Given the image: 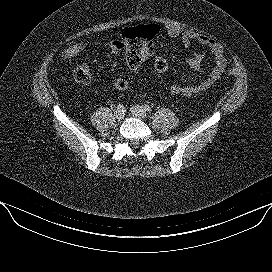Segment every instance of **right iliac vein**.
Here are the masks:
<instances>
[{"mask_svg": "<svg viewBox=\"0 0 272 272\" xmlns=\"http://www.w3.org/2000/svg\"><path fill=\"white\" fill-rule=\"evenodd\" d=\"M114 115L117 120H121L124 117V112L118 109L115 111Z\"/></svg>", "mask_w": 272, "mask_h": 272, "instance_id": "63e3f726", "label": "right iliac vein"}]
</instances>
